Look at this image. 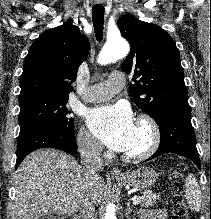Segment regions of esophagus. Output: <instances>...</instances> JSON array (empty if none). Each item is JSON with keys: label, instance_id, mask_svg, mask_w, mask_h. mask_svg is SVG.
Instances as JSON below:
<instances>
[{"label": "esophagus", "instance_id": "34e87169", "mask_svg": "<svg viewBox=\"0 0 211 219\" xmlns=\"http://www.w3.org/2000/svg\"><path fill=\"white\" fill-rule=\"evenodd\" d=\"M111 174H112L113 176H115V177H121V176H123L121 170L118 169V168H113V169L111 170Z\"/></svg>", "mask_w": 211, "mask_h": 219}]
</instances>
